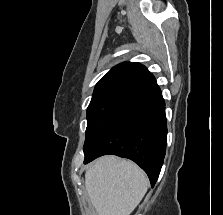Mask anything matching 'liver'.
<instances>
[{"instance_id":"liver-1","label":"liver","mask_w":223,"mask_h":215,"mask_svg":"<svg viewBox=\"0 0 223 215\" xmlns=\"http://www.w3.org/2000/svg\"><path fill=\"white\" fill-rule=\"evenodd\" d=\"M85 185L98 215H130L144 197L149 179L130 159L103 155L87 169Z\"/></svg>"}]
</instances>
